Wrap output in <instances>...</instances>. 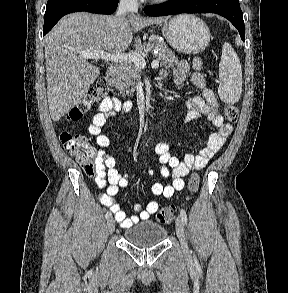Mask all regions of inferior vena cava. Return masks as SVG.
<instances>
[{"mask_svg":"<svg viewBox=\"0 0 288 293\" xmlns=\"http://www.w3.org/2000/svg\"><path fill=\"white\" fill-rule=\"evenodd\" d=\"M138 0H120L116 17L126 15L128 12L137 13Z\"/></svg>","mask_w":288,"mask_h":293,"instance_id":"inferior-vena-cava-1","label":"inferior vena cava"}]
</instances>
